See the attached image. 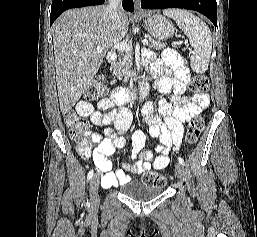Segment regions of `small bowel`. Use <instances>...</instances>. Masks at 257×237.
Returning a JSON list of instances; mask_svg holds the SVG:
<instances>
[{
	"instance_id": "obj_1",
	"label": "small bowel",
	"mask_w": 257,
	"mask_h": 237,
	"mask_svg": "<svg viewBox=\"0 0 257 237\" xmlns=\"http://www.w3.org/2000/svg\"><path fill=\"white\" fill-rule=\"evenodd\" d=\"M150 72L157 79L155 87L159 92L173 93L169 100L159 101L157 111L150 101L142 107L149 134L158 142L155 148L157 156L150 151H144L146 136L142 130H136L130 140L123 136L130 128L133 117L131 110L126 106L109 97L101 99L97 103V109L84 100L76 105L79 116L88 117L92 124L105 128V137L93 132L88 134L94 147L85 141L77 143L78 153L94 164L96 170L101 173L104 187L123 185L129 180L128 172L136 174L165 169L169 164V154L181 147L183 124L198 116L210 104L206 93H195L192 97L184 96L190 82V73L176 51L167 49L161 60L150 62ZM127 146L131 149V163L125 164L118 171H111L112 162L109 156L116 149Z\"/></svg>"
}]
</instances>
